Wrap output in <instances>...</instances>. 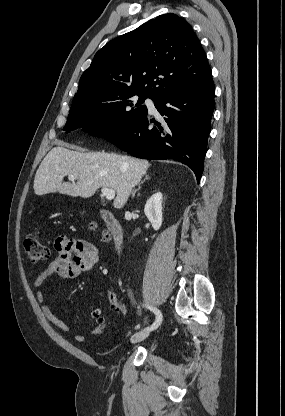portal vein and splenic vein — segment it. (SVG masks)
Returning a JSON list of instances; mask_svg holds the SVG:
<instances>
[{
	"label": "portal vein and splenic vein",
	"mask_w": 285,
	"mask_h": 416,
	"mask_svg": "<svg viewBox=\"0 0 285 416\" xmlns=\"http://www.w3.org/2000/svg\"><path fill=\"white\" fill-rule=\"evenodd\" d=\"M68 180H71V182H74L76 180V176L74 174H70ZM103 196H106L107 200H113L115 198V190H112V188H102L101 190Z\"/></svg>",
	"instance_id": "18ae733b"
}]
</instances>
